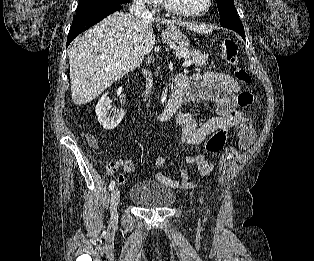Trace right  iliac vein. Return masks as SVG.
<instances>
[{
  "mask_svg": "<svg viewBox=\"0 0 314 261\" xmlns=\"http://www.w3.org/2000/svg\"><path fill=\"white\" fill-rule=\"evenodd\" d=\"M120 201V193L118 188H114L111 193L110 201V213H111V224L116 223L117 221V206Z\"/></svg>",
  "mask_w": 314,
  "mask_h": 261,
  "instance_id": "obj_1",
  "label": "right iliac vein"
}]
</instances>
